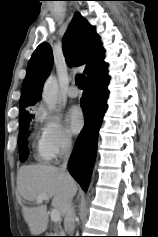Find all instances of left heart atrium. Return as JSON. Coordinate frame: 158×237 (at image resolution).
<instances>
[{
  "mask_svg": "<svg viewBox=\"0 0 158 237\" xmlns=\"http://www.w3.org/2000/svg\"><path fill=\"white\" fill-rule=\"evenodd\" d=\"M66 119L68 127L72 133L77 134L82 130L85 118L79 106H72L66 114Z\"/></svg>",
  "mask_w": 158,
  "mask_h": 237,
  "instance_id": "39dd6f15",
  "label": "left heart atrium"
}]
</instances>
